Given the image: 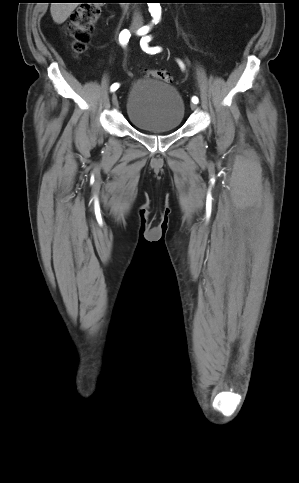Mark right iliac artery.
<instances>
[{
    "label": "right iliac artery",
    "mask_w": 299,
    "mask_h": 483,
    "mask_svg": "<svg viewBox=\"0 0 299 483\" xmlns=\"http://www.w3.org/2000/svg\"><path fill=\"white\" fill-rule=\"evenodd\" d=\"M149 30H150L149 26H144L141 29H139L137 33H138V35H145V34L148 33ZM130 36H131V34H130L129 30L124 29L123 31H121V33L119 35L120 43L124 46L127 45ZM118 88H119V83H114V84H112L110 89H111L112 92H114Z\"/></svg>",
    "instance_id": "1"
}]
</instances>
